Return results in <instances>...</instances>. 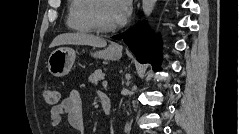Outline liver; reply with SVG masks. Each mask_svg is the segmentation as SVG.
Instances as JSON below:
<instances>
[{"instance_id": "obj_1", "label": "liver", "mask_w": 239, "mask_h": 134, "mask_svg": "<svg viewBox=\"0 0 239 134\" xmlns=\"http://www.w3.org/2000/svg\"><path fill=\"white\" fill-rule=\"evenodd\" d=\"M106 41L100 37L86 33H66L54 38L50 47L60 45H89L93 47H105Z\"/></svg>"}]
</instances>
